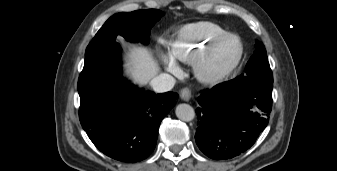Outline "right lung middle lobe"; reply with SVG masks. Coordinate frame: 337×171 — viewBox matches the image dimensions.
Here are the masks:
<instances>
[{
	"instance_id": "right-lung-middle-lobe-1",
	"label": "right lung middle lobe",
	"mask_w": 337,
	"mask_h": 171,
	"mask_svg": "<svg viewBox=\"0 0 337 171\" xmlns=\"http://www.w3.org/2000/svg\"><path fill=\"white\" fill-rule=\"evenodd\" d=\"M164 15L157 9L137 10L131 13H118L110 17L89 43L85 55L98 46L116 43L117 36L131 42L148 43L152 26Z\"/></svg>"
}]
</instances>
